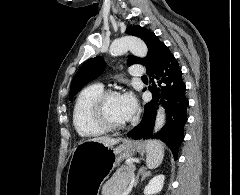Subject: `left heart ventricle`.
<instances>
[{
	"label": "left heart ventricle",
	"instance_id": "1",
	"mask_svg": "<svg viewBox=\"0 0 240 195\" xmlns=\"http://www.w3.org/2000/svg\"><path fill=\"white\" fill-rule=\"evenodd\" d=\"M108 115L112 122L117 124L127 123L121 97L112 98L108 103Z\"/></svg>",
	"mask_w": 240,
	"mask_h": 195
}]
</instances>
